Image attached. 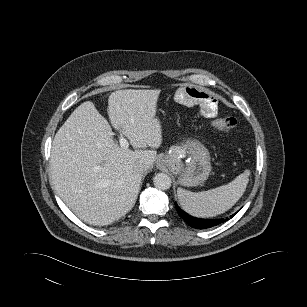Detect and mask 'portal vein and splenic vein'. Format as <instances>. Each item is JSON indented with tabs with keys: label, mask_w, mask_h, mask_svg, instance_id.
Segmentation results:
<instances>
[{
	"label": "portal vein and splenic vein",
	"mask_w": 307,
	"mask_h": 307,
	"mask_svg": "<svg viewBox=\"0 0 307 307\" xmlns=\"http://www.w3.org/2000/svg\"><path fill=\"white\" fill-rule=\"evenodd\" d=\"M119 142H120V146L122 148H128L129 147V142L126 138H124L122 135L119 136Z\"/></svg>",
	"instance_id": "portal-vein-and-splenic-vein-1"
}]
</instances>
